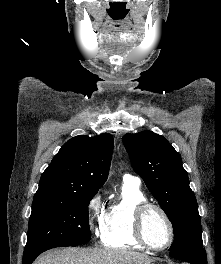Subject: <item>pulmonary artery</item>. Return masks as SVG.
I'll list each match as a JSON object with an SVG mask.
<instances>
[{"label":"pulmonary artery","instance_id":"obj_1","mask_svg":"<svg viewBox=\"0 0 221 264\" xmlns=\"http://www.w3.org/2000/svg\"><path fill=\"white\" fill-rule=\"evenodd\" d=\"M123 181L124 182H133V183H136V184L139 185L140 182H141V179H140V177H138L136 175H132V174L126 173L123 176Z\"/></svg>","mask_w":221,"mask_h":264}]
</instances>
